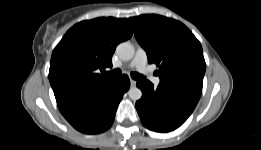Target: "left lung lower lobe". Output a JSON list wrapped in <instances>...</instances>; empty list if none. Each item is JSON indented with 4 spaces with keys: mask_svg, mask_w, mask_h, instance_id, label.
I'll list each match as a JSON object with an SVG mask.
<instances>
[{
    "mask_svg": "<svg viewBox=\"0 0 261 150\" xmlns=\"http://www.w3.org/2000/svg\"><path fill=\"white\" fill-rule=\"evenodd\" d=\"M142 98L136 109L142 124L156 132H169L182 125L196 107L202 89L186 83H160L157 88L147 80L137 82Z\"/></svg>",
    "mask_w": 261,
    "mask_h": 150,
    "instance_id": "1",
    "label": "left lung lower lobe"
}]
</instances>
